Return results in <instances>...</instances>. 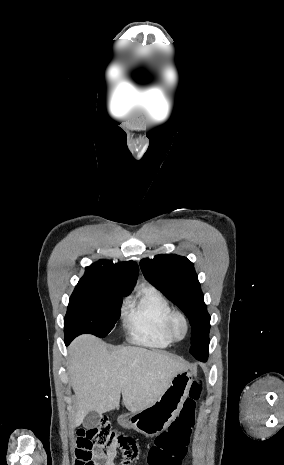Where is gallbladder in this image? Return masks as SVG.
Masks as SVG:
<instances>
[{
	"mask_svg": "<svg viewBox=\"0 0 284 465\" xmlns=\"http://www.w3.org/2000/svg\"><path fill=\"white\" fill-rule=\"evenodd\" d=\"M100 419V415H97V413H94V411H90L86 419H84L82 425L85 427V429H94V427H98Z\"/></svg>",
	"mask_w": 284,
	"mask_h": 465,
	"instance_id": "bac80fb5",
	"label": "gallbladder"
}]
</instances>
